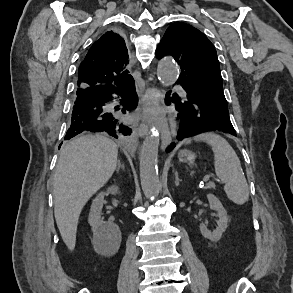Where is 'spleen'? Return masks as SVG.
Wrapping results in <instances>:
<instances>
[{"instance_id":"1","label":"spleen","mask_w":293,"mask_h":293,"mask_svg":"<svg viewBox=\"0 0 293 293\" xmlns=\"http://www.w3.org/2000/svg\"><path fill=\"white\" fill-rule=\"evenodd\" d=\"M209 144L214 153L215 173L225 182L224 190L227 197L235 204L242 205L249 199V188L241 167L240 160L226 139L213 132L199 134L193 138ZM192 139H185L189 144Z\"/></svg>"}]
</instances>
